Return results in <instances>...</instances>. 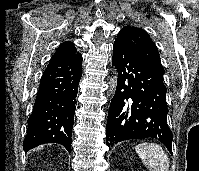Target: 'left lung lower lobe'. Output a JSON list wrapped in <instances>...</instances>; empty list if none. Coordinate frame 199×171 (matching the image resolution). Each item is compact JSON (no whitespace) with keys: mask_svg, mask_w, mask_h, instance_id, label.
<instances>
[{"mask_svg":"<svg viewBox=\"0 0 199 171\" xmlns=\"http://www.w3.org/2000/svg\"><path fill=\"white\" fill-rule=\"evenodd\" d=\"M112 65L117 69L118 83L108 112L107 146L151 137L172 153L164 73L117 42L113 45Z\"/></svg>","mask_w":199,"mask_h":171,"instance_id":"left-lung-lower-lobe-1","label":"left lung lower lobe"}]
</instances>
